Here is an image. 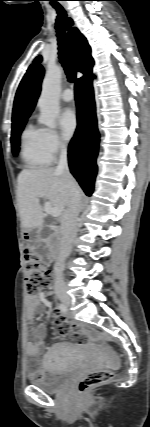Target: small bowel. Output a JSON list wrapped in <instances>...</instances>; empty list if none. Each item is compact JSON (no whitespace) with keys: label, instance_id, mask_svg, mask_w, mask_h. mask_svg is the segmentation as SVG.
Instances as JSON below:
<instances>
[{"label":"small bowel","instance_id":"c3829d8e","mask_svg":"<svg viewBox=\"0 0 150 427\" xmlns=\"http://www.w3.org/2000/svg\"><path fill=\"white\" fill-rule=\"evenodd\" d=\"M49 302L45 299L43 295L29 297L27 299V317L30 322V330L33 334V340H30L26 344V352L29 356L37 357L41 350L44 348V338L46 336V326L40 324L38 326H33V321L36 315L37 310L42 306H47ZM54 320L58 325V332L61 335L68 334H77V327L72 324L70 321L65 319L59 310H53L51 313ZM46 364L49 363L48 358L46 359ZM45 374L41 372L38 368L29 366V377L33 379L44 378Z\"/></svg>","mask_w":150,"mask_h":427}]
</instances>
